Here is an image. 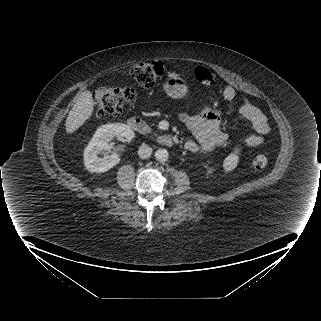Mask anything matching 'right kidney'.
Masks as SVG:
<instances>
[{
    "label": "right kidney",
    "instance_id": "right-kidney-1",
    "mask_svg": "<svg viewBox=\"0 0 321 321\" xmlns=\"http://www.w3.org/2000/svg\"><path fill=\"white\" fill-rule=\"evenodd\" d=\"M115 137L130 141L134 138V132L122 123H110L100 126L84 150V165L88 171L103 173L120 162V155L118 154L98 157L102 150L108 151L111 149L112 144L110 141Z\"/></svg>",
    "mask_w": 321,
    "mask_h": 321
}]
</instances>
